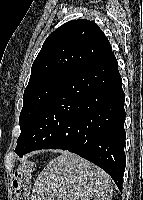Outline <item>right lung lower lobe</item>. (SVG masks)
<instances>
[{
	"mask_svg": "<svg viewBox=\"0 0 143 200\" xmlns=\"http://www.w3.org/2000/svg\"><path fill=\"white\" fill-rule=\"evenodd\" d=\"M125 94L114 53L78 70L49 98L17 152L68 150L105 170L122 192Z\"/></svg>",
	"mask_w": 143,
	"mask_h": 200,
	"instance_id": "98d812e1",
	"label": "right lung lower lobe"
}]
</instances>
